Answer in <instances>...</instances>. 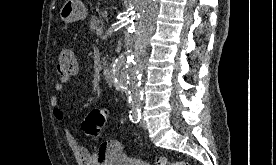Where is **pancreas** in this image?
I'll list each match as a JSON object with an SVG mask.
<instances>
[{
  "instance_id": "1",
  "label": "pancreas",
  "mask_w": 276,
  "mask_h": 165,
  "mask_svg": "<svg viewBox=\"0 0 276 165\" xmlns=\"http://www.w3.org/2000/svg\"><path fill=\"white\" fill-rule=\"evenodd\" d=\"M102 25L103 20L101 19V17L98 18L96 16H92L88 23L91 32H94L95 30L99 29Z\"/></svg>"
}]
</instances>
